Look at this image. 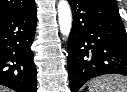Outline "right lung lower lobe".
<instances>
[{
    "instance_id": "right-lung-lower-lobe-1",
    "label": "right lung lower lobe",
    "mask_w": 127,
    "mask_h": 92,
    "mask_svg": "<svg viewBox=\"0 0 127 92\" xmlns=\"http://www.w3.org/2000/svg\"><path fill=\"white\" fill-rule=\"evenodd\" d=\"M36 5L0 16V84L17 92H36V67L31 45Z\"/></svg>"
}]
</instances>
